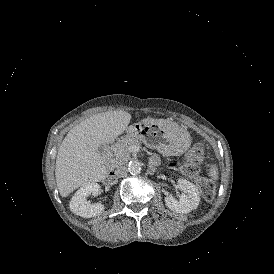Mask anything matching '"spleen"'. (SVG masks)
I'll return each mask as SVG.
<instances>
[{
	"mask_svg": "<svg viewBox=\"0 0 274 274\" xmlns=\"http://www.w3.org/2000/svg\"><path fill=\"white\" fill-rule=\"evenodd\" d=\"M211 174H212V175H214V174H215V172L212 170V171H211Z\"/></svg>",
	"mask_w": 274,
	"mask_h": 274,
	"instance_id": "obj_1",
	"label": "spleen"
}]
</instances>
